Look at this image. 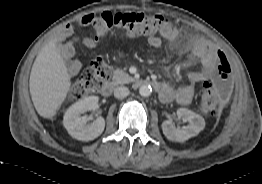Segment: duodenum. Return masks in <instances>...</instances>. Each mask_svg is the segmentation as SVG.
<instances>
[{
    "mask_svg": "<svg viewBox=\"0 0 262 184\" xmlns=\"http://www.w3.org/2000/svg\"><path fill=\"white\" fill-rule=\"evenodd\" d=\"M114 82L113 81H108L104 83L101 87V94L105 97H108L112 94V91L114 89ZM135 86L141 87V86H151L155 89L159 87V83L154 80H149V79H144V80H139L136 82Z\"/></svg>",
    "mask_w": 262,
    "mask_h": 184,
    "instance_id": "1",
    "label": "duodenum"
}]
</instances>
